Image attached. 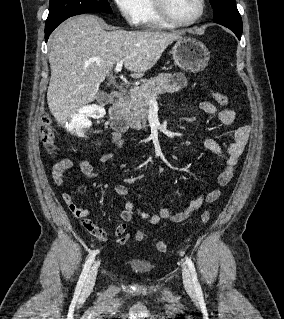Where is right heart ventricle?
Returning <instances> with one entry per match:
<instances>
[{
	"instance_id": "right-heart-ventricle-1",
	"label": "right heart ventricle",
	"mask_w": 284,
	"mask_h": 319,
	"mask_svg": "<svg viewBox=\"0 0 284 319\" xmlns=\"http://www.w3.org/2000/svg\"><path fill=\"white\" fill-rule=\"evenodd\" d=\"M140 25L145 28H158L169 26L161 20L155 12L152 0H144V10Z\"/></svg>"
}]
</instances>
